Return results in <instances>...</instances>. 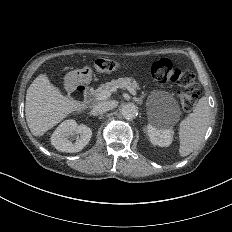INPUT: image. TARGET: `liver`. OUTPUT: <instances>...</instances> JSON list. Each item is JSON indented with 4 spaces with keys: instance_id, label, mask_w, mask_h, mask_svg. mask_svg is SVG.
I'll return each instance as SVG.
<instances>
[{
    "instance_id": "liver-1",
    "label": "liver",
    "mask_w": 232,
    "mask_h": 232,
    "mask_svg": "<svg viewBox=\"0 0 232 232\" xmlns=\"http://www.w3.org/2000/svg\"><path fill=\"white\" fill-rule=\"evenodd\" d=\"M83 108L81 101L63 94L45 73H40L26 92V122L32 135L37 137L43 136L69 115L79 113Z\"/></svg>"
}]
</instances>
